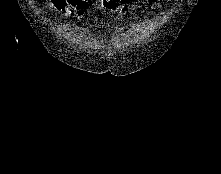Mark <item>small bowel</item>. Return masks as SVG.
Here are the masks:
<instances>
[{"instance_id":"obj_1","label":"small bowel","mask_w":221,"mask_h":174,"mask_svg":"<svg viewBox=\"0 0 221 174\" xmlns=\"http://www.w3.org/2000/svg\"><path fill=\"white\" fill-rule=\"evenodd\" d=\"M95 0H47V8L55 12L61 18H69L73 15L82 17ZM102 6L108 10L126 13L128 5L133 0H99ZM154 1V0H150Z\"/></svg>"}]
</instances>
